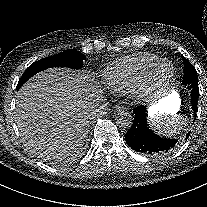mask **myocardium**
<instances>
[{
	"label": "myocardium",
	"instance_id": "1",
	"mask_svg": "<svg viewBox=\"0 0 207 207\" xmlns=\"http://www.w3.org/2000/svg\"><path fill=\"white\" fill-rule=\"evenodd\" d=\"M170 64L172 67L171 74L166 82L162 85H157L153 81L154 73L163 65ZM176 69L171 60L161 59L157 61L145 74L143 87L135 93L139 103H149L164 96L173 84L175 79Z\"/></svg>",
	"mask_w": 207,
	"mask_h": 207
}]
</instances>
